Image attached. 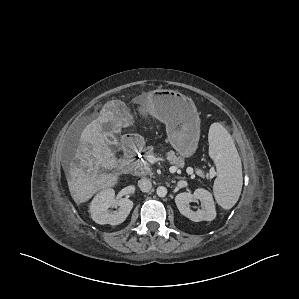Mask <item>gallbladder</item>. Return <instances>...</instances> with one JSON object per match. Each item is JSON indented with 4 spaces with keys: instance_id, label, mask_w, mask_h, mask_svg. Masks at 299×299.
Here are the masks:
<instances>
[{
    "instance_id": "bac80fb5",
    "label": "gallbladder",
    "mask_w": 299,
    "mask_h": 299,
    "mask_svg": "<svg viewBox=\"0 0 299 299\" xmlns=\"http://www.w3.org/2000/svg\"><path fill=\"white\" fill-rule=\"evenodd\" d=\"M113 129H114V126L110 122L104 123L102 125V133L107 137L108 146L112 149H116L119 147V142L114 137Z\"/></svg>"
}]
</instances>
